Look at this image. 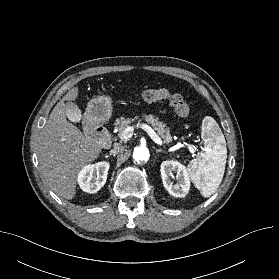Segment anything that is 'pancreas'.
Listing matches in <instances>:
<instances>
[{
	"mask_svg": "<svg viewBox=\"0 0 279 279\" xmlns=\"http://www.w3.org/2000/svg\"><path fill=\"white\" fill-rule=\"evenodd\" d=\"M135 119H139L138 116ZM132 118H124L120 117L116 119L115 128L118 130L119 136L122 132L130 126L131 123L135 121ZM142 119H144L148 124L153 126V128L157 131V133L161 136V138L166 142L169 143L172 141V137L170 135V130L166 125L160 121L158 118L154 117L153 115H142Z\"/></svg>",
	"mask_w": 279,
	"mask_h": 279,
	"instance_id": "pancreas-1",
	"label": "pancreas"
}]
</instances>
